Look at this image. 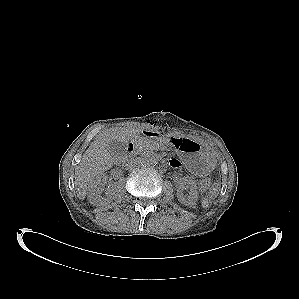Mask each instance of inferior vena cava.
Returning <instances> with one entry per match:
<instances>
[{
    "mask_svg": "<svg viewBox=\"0 0 299 299\" xmlns=\"http://www.w3.org/2000/svg\"><path fill=\"white\" fill-rule=\"evenodd\" d=\"M138 164H139V161L133 159L128 162L127 166L132 168V167H136Z\"/></svg>",
    "mask_w": 299,
    "mask_h": 299,
    "instance_id": "obj_1",
    "label": "inferior vena cava"
}]
</instances>
